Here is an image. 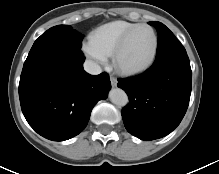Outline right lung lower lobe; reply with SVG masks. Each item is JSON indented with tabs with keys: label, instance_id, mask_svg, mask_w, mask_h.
Masks as SVG:
<instances>
[{
	"label": "right lung lower lobe",
	"instance_id": "obj_1",
	"mask_svg": "<svg viewBox=\"0 0 219 174\" xmlns=\"http://www.w3.org/2000/svg\"><path fill=\"white\" fill-rule=\"evenodd\" d=\"M84 60L80 49L55 47L24 63L21 109L29 125L46 139L64 141L78 135L95 104L107 97L109 75L87 74Z\"/></svg>",
	"mask_w": 219,
	"mask_h": 174
}]
</instances>
